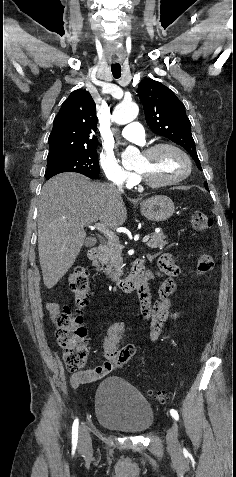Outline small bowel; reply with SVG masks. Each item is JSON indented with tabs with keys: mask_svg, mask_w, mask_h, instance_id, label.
<instances>
[{
	"mask_svg": "<svg viewBox=\"0 0 236 477\" xmlns=\"http://www.w3.org/2000/svg\"><path fill=\"white\" fill-rule=\"evenodd\" d=\"M178 273L179 269L174 264L172 255L163 254L160 256L158 274L174 277L178 275ZM155 275L156 273L154 272L146 273L148 279L153 278ZM175 287V282L172 279L166 280L160 288L161 299L156 303L152 301L147 286L142 287L138 291L143 309V317L149 324L150 341L153 343L157 341L163 331L171 304L169 297L174 292ZM47 310L51 319L55 321L57 316L61 313V306L58 302H50L47 305ZM124 328L125 326L122 322H115L106 328L102 336V353L105 357V362L89 370L74 373L72 375V383L74 386L95 382L107 376L113 369V362L123 350H126L130 357L135 354L136 349L133 345L121 347Z\"/></svg>",
	"mask_w": 236,
	"mask_h": 477,
	"instance_id": "c3829d8e",
	"label": "small bowel"
}]
</instances>
